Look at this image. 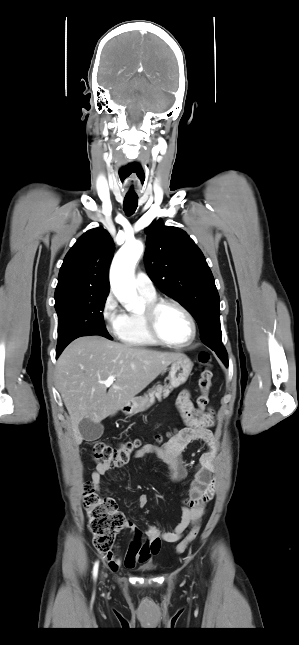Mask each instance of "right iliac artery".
I'll use <instances>...</instances> for the list:
<instances>
[{"mask_svg": "<svg viewBox=\"0 0 299 645\" xmlns=\"http://www.w3.org/2000/svg\"><path fill=\"white\" fill-rule=\"evenodd\" d=\"M97 571H98V562H96L95 565H94V570H93L94 577L97 576Z\"/></svg>", "mask_w": 299, "mask_h": 645, "instance_id": "obj_1", "label": "right iliac artery"}]
</instances>
